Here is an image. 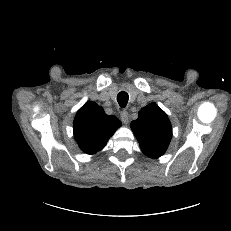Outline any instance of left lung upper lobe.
<instances>
[{"mask_svg":"<svg viewBox=\"0 0 231 231\" xmlns=\"http://www.w3.org/2000/svg\"><path fill=\"white\" fill-rule=\"evenodd\" d=\"M142 152L150 158L162 156L172 138V126L166 113L156 103L142 108L131 122Z\"/></svg>","mask_w":231,"mask_h":231,"instance_id":"5c2ea615","label":"left lung upper lobe"}]
</instances>
